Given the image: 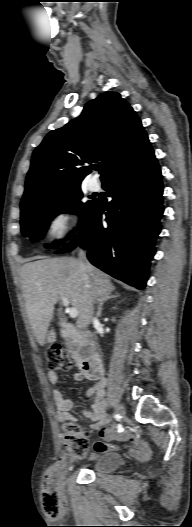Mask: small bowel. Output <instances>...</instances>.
I'll list each match as a JSON object with an SVG mask.
<instances>
[{"label": "small bowel", "instance_id": "c3829d8e", "mask_svg": "<svg viewBox=\"0 0 192 527\" xmlns=\"http://www.w3.org/2000/svg\"><path fill=\"white\" fill-rule=\"evenodd\" d=\"M74 379L77 381H82L83 379L93 381L86 390L87 396L92 398L91 409L82 410V415L92 421L89 426L90 430H100V436L106 440V442L99 441L94 444V454L127 448L130 455L134 458L144 459L148 457L150 450L144 441L136 438L126 429L119 432L116 427L109 425L110 417L106 412V400L104 398V379L98 380L91 378L86 376L83 372L75 373ZM48 380L52 384H57V373L50 370L48 372ZM53 398L57 409V420L61 423L75 421V417L70 413L74 406L73 400L65 398L62 392L58 389L53 391ZM112 439L117 440L121 444L111 443Z\"/></svg>", "mask_w": 192, "mask_h": 527}]
</instances>
